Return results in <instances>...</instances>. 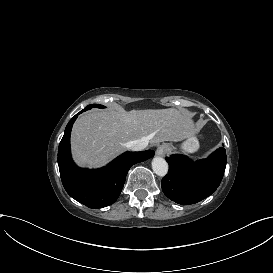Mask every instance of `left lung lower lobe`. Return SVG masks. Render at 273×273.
Wrapping results in <instances>:
<instances>
[{
	"label": "left lung lower lobe",
	"instance_id": "obj_1",
	"mask_svg": "<svg viewBox=\"0 0 273 273\" xmlns=\"http://www.w3.org/2000/svg\"><path fill=\"white\" fill-rule=\"evenodd\" d=\"M166 160L169 171L161 181L164 194L178 204L190 205L216 191L225 171L226 152L221 147L207 159L196 162L179 154Z\"/></svg>",
	"mask_w": 273,
	"mask_h": 273
}]
</instances>
